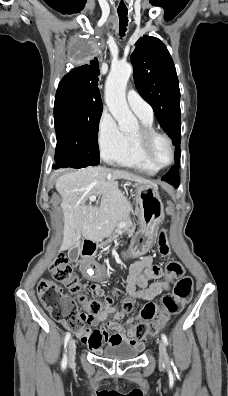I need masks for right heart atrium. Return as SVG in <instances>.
Instances as JSON below:
<instances>
[{
  "mask_svg": "<svg viewBox=\"0 0 228 396\" xmlns=\"http://www.w3.org/2000/svg\"><path fill=\"white\" fill-rule=\"evenodd\" d=\"M97 141L104 159L113 162L125 150L126 135L112 115L103 110L97 124Z\"/></svg>",
  "mask_w": 228,
  "mask_h": 396,
  "instance_id": "obj_1",
  "label": "right heart atrium"
}]
</instances>
